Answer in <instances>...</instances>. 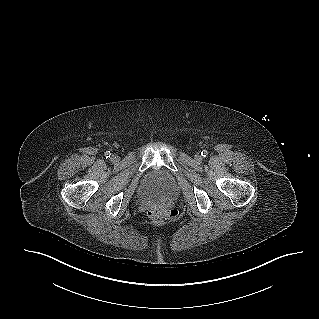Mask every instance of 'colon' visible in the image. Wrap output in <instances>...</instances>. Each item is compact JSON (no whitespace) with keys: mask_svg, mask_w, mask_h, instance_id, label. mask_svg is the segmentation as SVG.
<instances>
[{"mask_svg":"<svg viewBox=\"0 0 319 319\" xmlns=\"http://www.w3.org/2000/svg\"><path fill=\"white\" fill-rule=\"evenodd\" d=\"M148 215L150 218L158 220L165 217H174L176 216V212L173 210L168 211L159 207H154L148 211Z\"/></svg>","mask_w":319,"mask_h":319,"instance_id":"1","label":"colon"}]
</instances>
